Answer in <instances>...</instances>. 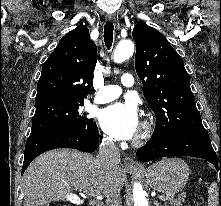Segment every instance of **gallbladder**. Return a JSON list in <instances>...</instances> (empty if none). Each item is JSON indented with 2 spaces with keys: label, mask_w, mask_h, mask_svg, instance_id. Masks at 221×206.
I'll list each match as a JSON object with an SVG mask.
<instances>
[{
  "label": "gallbladder",
  "mask_w": 221,
  "mask_h": 206,
  "mask_svg": "<svg viewBox=\"0 0 221 206\" xmlns=\"http://www.w3.org/2000/svg\"><path fill=\"white\" fill-rule=\"evenodd\" d=\"M65 198H68V202L74 205L75 202H83V197H78V193H65ZM74 206H79L78 204Z\"/></svg>",
  "instance_id": "gallbladder-1"
}]
</instances>
